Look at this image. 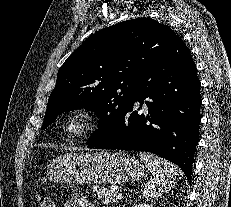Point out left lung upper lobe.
<instances>
[{
    "label": "left lung upper lobe",
    "mask_w": 231,
    "mask_h": 207,
    "mask_svg": "<svg viewBox=\"0 0 231 207\" xmlns=\"http://www.w3.org/2000/svg\"><path fill=\"white\" fill-rule=\"evenodd\" d=\"M178 38L170 27L150 18L96 32L58 70L41 129L63 112L86 108L100 117L88 142L111 135L138 96L140 75Z\"/></svg>",
    "instance_id": "obj_1"
}]
</instances>
